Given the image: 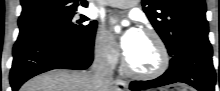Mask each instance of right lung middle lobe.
I'll use <instances>...</instances> for the list:
<instances>
[{
  "instance_id": "1",
  "label": "right lung middle lobe",
  "mask_w": 220,
  "mask_h": 91,
  "mask_svg": "<svg viewBox=\"0 0 220 91\" xmlns=\"http://www.w3.org/2000/svg\"><path fill=\"white\" fill-rule=\"evenodd\" d=\"M20 29L42 28L51 30L75 42L90 41L95 37L97 22L76 11L48 15L19 25Z\"/></svg>"
}]
</instances>
